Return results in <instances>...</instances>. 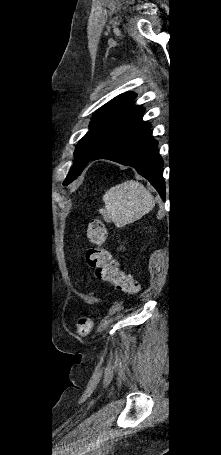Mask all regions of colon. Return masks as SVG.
I'll return each instance as SVG.
<instances>
[{"label":"colon","mask_w":221,"mask_h":455,"mask_svg":"<svg viewBox=\"0 0 221 455\" xmlns=\"http://www.w3.org/2000/svg\"><path fill=\"white\" fill-rule=\"evenodd\" d=\"M87 233L92 247L88 249L86 259L89 266L95 271L96 278L113 284L121 292L136 293L139 289L137 281L131 274L119 269L117 261L104 247L106 242L104 223L100 219H92L88 225ZM91 328L92 322L89 317L83 316L79 319L77 325L79 335L88 334Z\"/></svg>","instance_id":"colon-1"}]
</instances>
